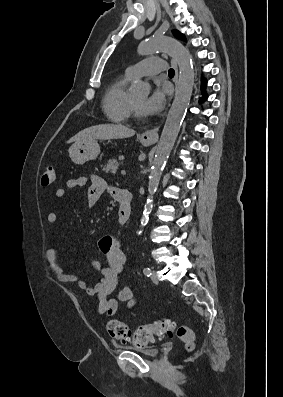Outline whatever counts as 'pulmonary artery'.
I'll return each mask as SVG.
<instances>
[{"label":"pulmonary artery","instance_id":"pulmonary-artery-1","mask_svg":"<svg viewBox=\"0 0 283 397\" xmlns=\"http://www.w3.org/2000/svg\"><path fill=\"white\" fill-rule=\"evenodd\" d=\"M165 70V62L158 57L146 58L126 69L129 78L153 76Z\"/></svg>","mask_w":283,"mask_h":397}]
</instances>
